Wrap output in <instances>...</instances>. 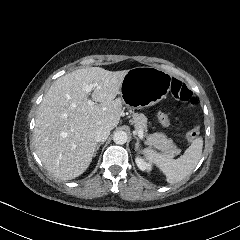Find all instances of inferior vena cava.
Returning <instances> with one entry per match:
<instances>
[{"label": "inferior vena cava", "instance_id": "obj_1", "mask_svg": "<svg viewBox=\"0 0 240 240\" xmlns=\"http://www.w3.org/2000/svg\"><path fill=\"white\" fill-rule=\"evenodd\" d=\"M110 135V129L100 128L95 132L94 138L96 142H105Z\"/></svg>", "mask_w": 240, "mask_h": 240}]
</instances>
